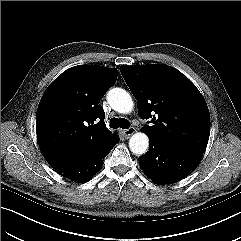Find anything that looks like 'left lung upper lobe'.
Instances as JSON below:
<instances>
[{
  "label": "left lung upper lobe",
  "mask_w": 241,
  "mask_h": 241,
  "mask_svg": "<svg viewBox=\"0 0 241 241\" xmlns=\"http://www.w3.org/2000/svg\"><path fill=\"white\" fill-rule=\"evenodd\" d=\"M120 72L137 100L142 131L162 144L202 154L210 135L207 104L195 85L168 65H122Z\"/></svg>",
  "instance_id": "left-lung-upper-lobe-1"
}]
</instances>
